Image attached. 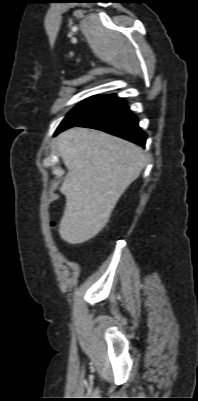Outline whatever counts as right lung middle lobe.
Wrapping results in <instances>:
<instances>
[{"mask_svg": "<svg viewBox=\"0 0 198 401\" xmlns=\"http://www.w3.org/2000/svg\"><path fill=\"white\" fill-rule=\"evenodd\" d=\"M106 98L107 95H95L82 101L66 115L57 128L55 135L66 130L67 128L75 126L94 113L103 104Z\"/></svg>", "mask_w": 198, "mask_h": 401, "instance_id": "dd1d6c3e", "label": "right lung middle lobe"}]
</instances>
